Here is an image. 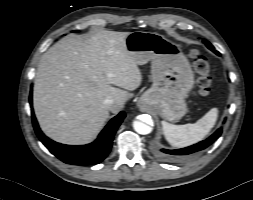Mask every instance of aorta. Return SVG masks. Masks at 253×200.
Segmentation results:
<instances>
[{"instance_id":"1","label":"aorta","mask_w":253,"mask_h":200,"mask_svg":"<svg viewBox=\"0 0 253 200\" xmlns=\"http://www.w3.org/2000/svg\"><path fill=\"white\" fill-rule=\"evenodd\" d=\"M133 128L138 134L146 135L152 131L151 126L141 122V121H134Z\"/></svg>"}]
</instances>
